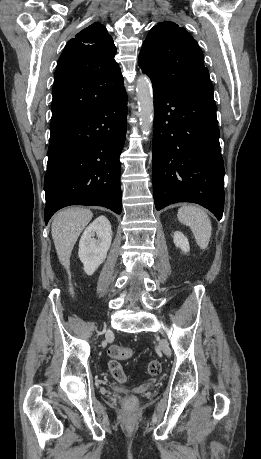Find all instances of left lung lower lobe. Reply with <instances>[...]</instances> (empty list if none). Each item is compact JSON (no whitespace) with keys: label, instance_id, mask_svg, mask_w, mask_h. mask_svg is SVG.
<instances>
[{"label":"left lung lower lobe","instance_id":"0a47b994","mask_svg":"<svg viewBox=\"0 0 261 459\" xmlns=\"http://www.w3.org/2000/svg\"><path fill=\"white\" fill-rule=\"evenodd\" d=\"M153 84V83H152ZM153 194L157 210L184 201L224 208V164L213 97L153 84Z\"/></svg>","mask_w":261,"mask_h":459}]
</instances>
